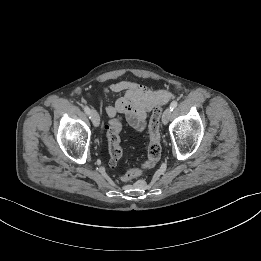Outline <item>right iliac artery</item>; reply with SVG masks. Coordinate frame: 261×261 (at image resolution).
<instances>
[{
    "label": "right iliac artery",
    "instance_id": "right-iliac-artery-1",
    "mask_svg": "<svg viewBox=\"0 0 261 261\" xmlns=\"http://www.w3.org/2000/svg\"><path fill=\"white\" fill-rule=\"evenodd\" d=\"M84 108V111H85V113L87 114V115H90V108L88 107V106H84L83 107Z\"/></svg>",
    "mask_w": 261,
    "mask_h": 261
}]
</instances>
